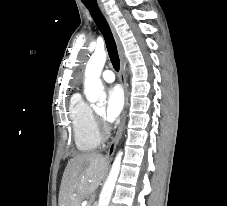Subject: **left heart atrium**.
Instances as JSON below:
<instances>
[{
	"label": "left heart atrium",
	"mask_w": 227,
	"mask_h": 206,
	"mask_svg": "<svg viewBox=\"0 0 227 206\" xmlns=\"http://www.w3.org/2000/svg\"><path fill=\"white\" fill-rule=\"evenodd\" d=\"M124 105V96L119 86H113L107 93V106L105 118L108 122L115 121L120 115Z\"/></svg>",
	"instance_id": "left-heart-atrium-1"
}]
</instances>
